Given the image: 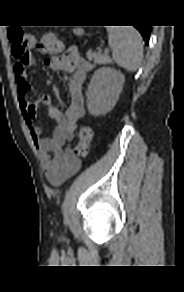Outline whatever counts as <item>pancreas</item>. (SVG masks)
<instances>
[{"label": "pancreas", "mask_w": 184, "mask_h": 292, "mask_svg": "<svg viewBox=\"0 0 184 292\" xmlns=\"http://www.w3.org/2000/svg\"><path fill=\"white\" fill-rule=\"evenodd\" d=\"M86 58L89 61H93L95 64H110L112 62L109 55L107 53L102 54L101 51L93 52L89 50L86 53Z\"/></svg>", "instance_id": "cf45deb5"}]
</instances>
